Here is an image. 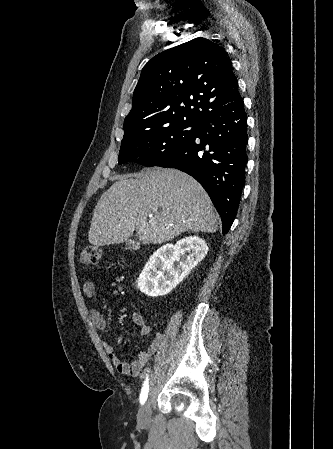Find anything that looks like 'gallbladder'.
<instances>
[{"mask_svg": "<svg viewBox=\"0 0 333 449\" xmlns=\"http://www.w3.org/2000/svg\"><path fill=\"white\" fill-rule=\"evenodd\" d=\"M139 248V242L135 240H127L126 241V249L128 250H137Z\"/></svg>", "mask_w": 333, "mask_h": 449, "instance_id": "gallbladder-1", "label": "gallbladder"}]
</instances>
